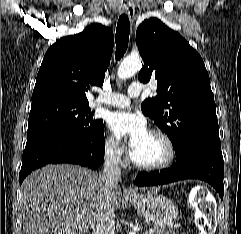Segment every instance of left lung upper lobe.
Masks as SVG:
<instances>
[{"label": "left lung upper lobe", "instance_id": "obj_1", "mask_svg": "<svg viewBox=\"0 0 241 234\" xmlns=\"http://www.w3.org/2000/svg\"><path fill=\"white\" fill-rule=\"evenodd\" d=\"M136 41L144 66L141 82L157 80V95L146 99L142 112L173 143L175 153L186 145L220 143L214 96L201 56L177 32L157 18L142 22Z\"/></svg>", "mask_w": 241, "mask_h": 234}]
</instances>
